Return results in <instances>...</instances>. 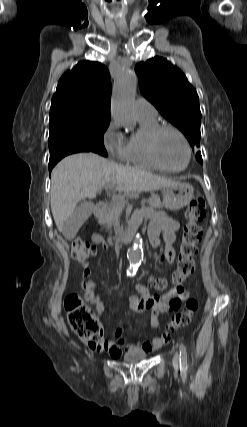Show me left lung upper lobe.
Listing matches in <instances>:
<instances>
[{
	"label": "left lung upper lobe",
	"instance_id": "left-lung-upper-lobe-1",
	"mask_svg": "<svg viewBox=\"0 0 247 427\" xmlns=\"http://www.w3.org/2000/svg\"><path fill=\"white\" fill-rule=\"evenodd\" d=\"M135 70L143 96L184 133L202 163L198 151L201 112L195 88L180 69L161 57L140 62Z\"/></svg>",
	"mask_w": 247,
	"mask_h": 427
}]
</instances>
